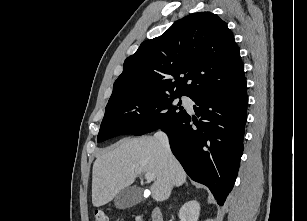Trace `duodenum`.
<instances>
[{"mask_svg":"<svg viewBox=\"0 0 307 221\" xmlns=\"http://www.w3.org/2000/svg\"><path fill=\"white\" fill-rule=\"evenodd\" d=\"M152 221H163L162 213L159 208L154 209L152 213Z\"/></svg>","mask_w":307,"mask_h":221,"instance_id":"duodenum-1","label":"duodenum"}]
</instances>
